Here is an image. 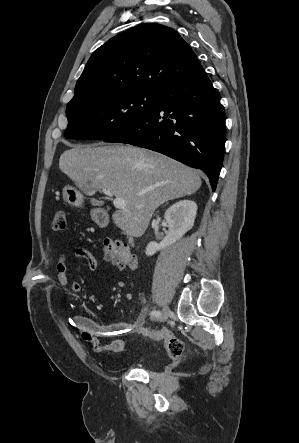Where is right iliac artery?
<instances>
[{
  "label": "right iliac artery",
  "mask_w": 299,
  "mask_h": 443,
  "mask_svg": "<svg viewBox=\"0 0 299 443\" xmlns=\"http://www.w3.org/2000/svg\"><path fill=\"white\" fill-rule=\"evenodd\" d=\"M150 315L152 317H159L161 315V312L157 311V310H153V311L150 312Z\"/></svg>",
  "instance_id": "1"
}]
</instances>
